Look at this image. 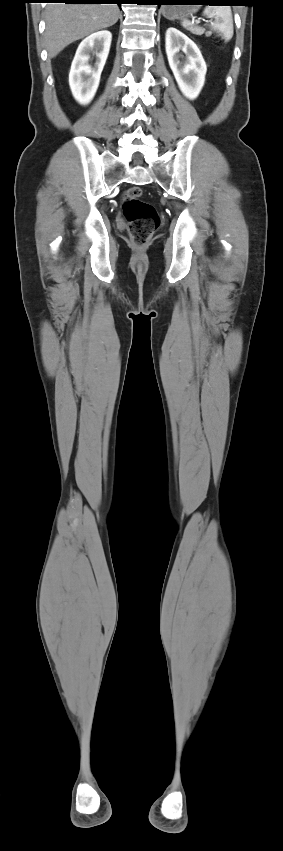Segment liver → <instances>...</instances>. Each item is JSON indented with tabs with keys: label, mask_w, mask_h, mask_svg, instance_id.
Instances as JSON below:
<instances>
[{
	"label": "liver",
	"mask_w": 283,
	"mask_h": 851,
	"mask_svg": "<svg viewBox=\"0 0 283 851\" xmlns=\"http://www.w3.org/2000/svg\"><path fill=\"white\" fill-rule=\"evenodd\" d=\"M119 13L116 4L50 3L45 12L48 57L54 58L71 43L114 25Z\"/></svg>",
	"instance_id": "liver-1"
}]
</instances>
